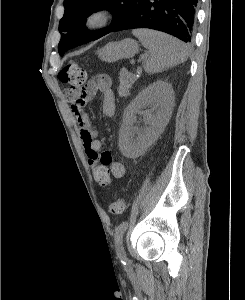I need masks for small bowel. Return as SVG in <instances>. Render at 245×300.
I'll return each instance as SVG.
<instances>
[{
  "instance_id": "c3829d8e",
  "label": "small bowel",
  "mask_w": 245,
  "mask_h": 300,
  "mask_svg": "<svg viewBox=\"0 0 245 300\" xmlns=\"http://www.w3.org/2000/svg\"><path fill=\"white\" fill-rule=\"evenodd\" d=\"M98 98L103 113L111 117L115 111V97L111 89V78L106 74L95 76L81 91L78 99L72 102L71 111L79 127L86 156L92 165L95 182L99 188H108L111 176L122 178L125 176V166L113 160L110 152L103 151V142L98 137V132L93 128L84 107L93 99Z\"/></svg>"
}]
</instances>
